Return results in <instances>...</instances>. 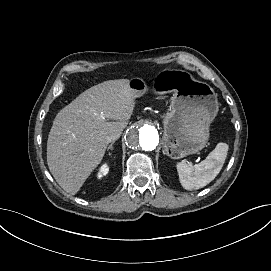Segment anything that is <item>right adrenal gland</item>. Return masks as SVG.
Masks as SVG:
<instances>
[{
    "instance_id": "obj_1",
    "label": "right adrenal gland",
    "mask_w": 271,
    "mask_h": 271,
    "mask_svg": "<svg viewBox=\"0 0 271 271\" xmlns=\"http://www.w3.org/2000/svg\"><path fill=\"white\" fill-rule=\"evenodd\" d=\"M115 143V141H112V143L108 146L107 150L108 151H112L113 150V144Z\"/></svg>"
}]
</instances>
